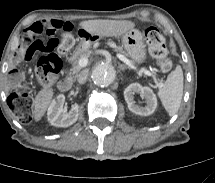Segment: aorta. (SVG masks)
<instances>
[{"label": "aorta", "instance_id": "1", "mask_svg": "<svg viewBox=\"0 0 215 183\" xmlns=\"http://www.w3.org/2000/svg\"><path fill=\"white\" fill-rule=\"evenodd\" d=\"M116 77V71L113 66L102 63L97 65L92 71V81L100 87H107L113 83Z\"/></svg>", "mask_w": 215, "mask_h": 183}]
</instances>
